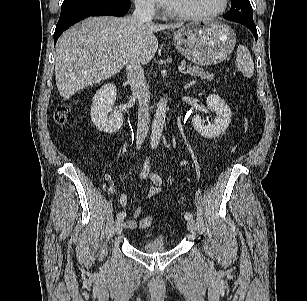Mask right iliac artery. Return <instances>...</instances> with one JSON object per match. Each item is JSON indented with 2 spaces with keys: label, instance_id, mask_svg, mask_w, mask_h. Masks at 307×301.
<instances>
[{
  "label": "right iliac artery",
  "instance_id": "obj_1",
  "mask_svg": "<svg viewBox=\"0 0 307 301\" xmlns=\"http://www.w3.org/2000/svg\"><path fill=\"white\" fill-rule=\"evenodd\" d=\"M149 171V160L146 159L144 166H143V170L141 172V177L143 176V178L145 177V173ZM126 216L125 212H119L117 215L118 219H124Z\"/></svg>",
  "mask_w": 307,
  "mask_h": 301
}]
</instances>
